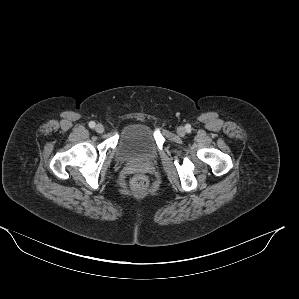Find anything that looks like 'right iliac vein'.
Returning a JSON list of instances; mask_svg holds the SVG:
<instances>
[{"mask_svg": "<svg viewBox=\"0 0 299 299\" xmlns=\"http://www.w3.org/2000/svg\"><path fill=\"white\" fill-rule=\"evenodd\" d=\"M95 131H96L97 133H103V132H104V126H103L102 124H97V125L95 126Z\"/></svg>", "mask_w": 299, "mask_h": 299, "instance_id": "1", "label": "right iliac vein"}]
</instances>
